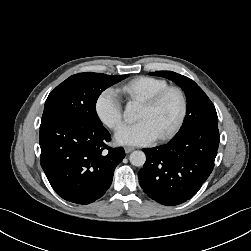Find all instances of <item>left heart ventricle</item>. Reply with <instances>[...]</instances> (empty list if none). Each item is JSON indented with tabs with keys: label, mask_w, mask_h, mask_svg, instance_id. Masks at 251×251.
<instances>
[{
	"label": "left heart ventricle",
	"mask_w": 251,
	"mask_h": 251,
	"mask_svg": "<svg viewBox=\"0 0 251 251\" xmlns=\"http://www.w3.org/2000/svg\"><path fill=\"white\" fill-rule=\"evenodd\" d=\"M179 111V100L176 94L170 93L154 108L140 107L137 120H148L157 136L163 134L175 121Z\"/></svg>",
	"instance_id": "1"
}]
</instances>
